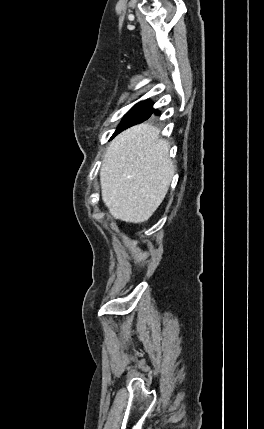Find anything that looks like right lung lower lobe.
Returning <instances> with one entry per match:
<instances>
[{
    "instance_id": "right-lung-lower-lobe-1",
    "label": "right lung lower lobe",
    "mask_w": 264,
    "mask_h": 429,
    "mask_svg": "<svg viewBox=\"0 0 264 429\" xmlns=\"http://www.w3.org/2000/svg\"><path fill=\"white\" fill-rule=\"evenodd\" d=\"M154 112V110L152 109L151 110V112H150V114H149V116H148V118L151 116V114ZM143 122V121H142ZM138 123H141V122H136V123H134V124H131V125H129L128 127H130V126H132V125H135V124H138ZM128 127H126V128H128ZM125 128V129H126Z\"/></svg>"
}]
</instances>
